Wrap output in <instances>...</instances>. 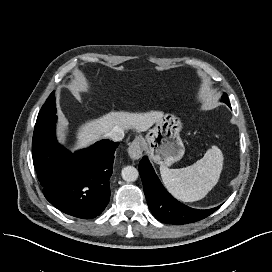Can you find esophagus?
Returning a JSON list of instances; mask_svg holds the SVG:
<instances>
[{
	"instance_id": "esophagus-1",
	"label": "esophagus",
	"mask_w": 272,
	"mask_h": 272,
	"mask_svg": "<svg viewBox=\"0 0 272 272\" xmlns=\"http://www.w3.org/2000/svg\"><path fill=\"white\" fill-rule=\"evenodd\" d=\"M143 146L140 139H135L128 148V154L131 159L138 160L142 156Z\"/></svg>"
}]
</instances>
